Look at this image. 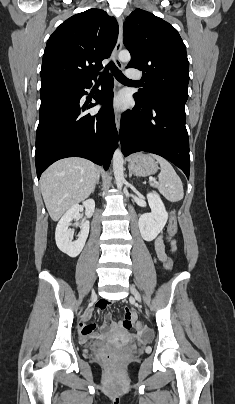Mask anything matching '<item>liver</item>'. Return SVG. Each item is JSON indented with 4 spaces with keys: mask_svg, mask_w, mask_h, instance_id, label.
<instances>
[{
    "mask_svg": "<svg viewBox=\"0 0 235 404\" xmlns=\"http://www.w3.org/2000/svg\"><path fill=\"white\" fill-rule=\"evenodd\" d=\"M99 168L84 158H65L52 164L41 176L46 209L54 221L94 191Z\"/></svg>",
    "mask_w": 235,
    "mask_h": 404,
    "instance_id": "obj_1",
    "label": "liver"
}]
</instances>
